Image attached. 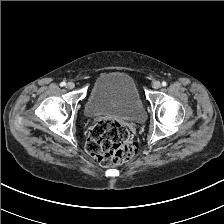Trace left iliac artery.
I'll return each instance as SVG.
<instances>
[{"label":"left iliac artery","mask_w":224,"mask_h":224,"mask_svg":"<svg viewBox=\"0 0 224 224\" xmlns=\"http://www.w3.org/2000/svg\"><path fill=\"white\" fill-rule=\"evenodd\" d=\"M162 86H163V87L167 86V82L163 81V82H162Z\"/></svg>","instance_id":"44dca946"}]
</instances>
